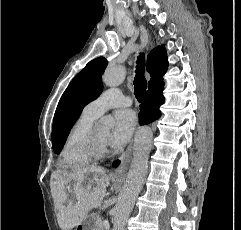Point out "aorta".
I'll use <instances>...</instances> for the list:
<instances>
[{"label": "aorta", "mask_w": 241, "mask_h": 230, "mask_svg": "<svg viewBox=\"0 0 241 230\" xmlns=\"http://www.w3.org/2000/svg\"><path fill=\"white\" fill-rule=\"evenodd\" d=\"M124 79L125 68L122 65L108 67L102 76L104 85L108 87H116L120 85ZM99 122L106 128H110L113 125V120L107 117L101 118ZM151 144L152 132L150 128H140L135 136L130 169L113 209L112 230H125L126 222L144 184Z\"/></svg>", "instance_id": "aorta-1"}]
</instances>
